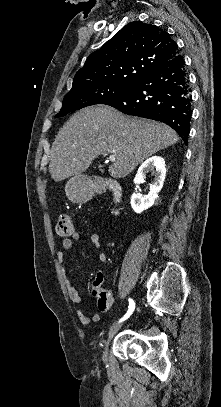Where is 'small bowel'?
<instances>
[{"label":"small bowel","instance_id":"small-bowel-1","mask_svg":"<svg viewBox=\"0 0 221 407\" xmlns=\"http://www.w3.org/2000/svg\"><path fill=\"white\" fill-rule=\"evenodd\" d=\"M81 239V235L78 232H74L70 237L68 238H63L60 243V248L58 249L56 253V258L59 262H63L65 258V254L68 253L71 250L72 243L74 241H79ZM90 240L97 246H100V236L97 232L93 231L90 234ZM99 259L101 261H104L106 259V255L104 252L99 253ZM104 280V273L101 270H96L93 274V279L91 283V296L94 298L96 301H99L100 296L94 294L92 290V286L97 283H101ZM64 285L66 288V292L68 294L69 299L75 303V304H80L82 302V296L79 293L78 289L76 288L75 284L73 283L72 280H70L68 277L64 275ZM104 297L108 299L109 301L112 300V297L109 293L104 292ZM78 319L81 323L83 324H90L91 322H97L100 320V316L98 314L93 315L90 317L83 311H78L77 312Z\"/></svg>","mask_w":221,"mask_h":407}]
</instances>
